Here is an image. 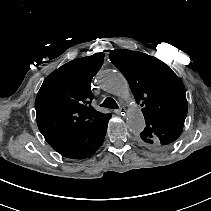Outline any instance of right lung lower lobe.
Segmentation results:
<instances>
[{
  "label": "right lung lower lobe",
  "mask_w": 211,
  "mask_h": 211,
  "mask_svg": "<svg viewBox=\"0 0 211 211\" xmlns=\"http://www.w3.org/2000/svg\"><path fill=\"white\" fill-rule=\"evenodd\" d=\"M110 118L111 114H104L91 126L48 143L55 151L66 158H88L102 145Z\"/></svg>",
  "instance_id": "obj_1"
}]
</instances>
